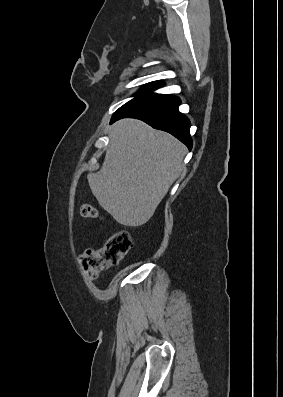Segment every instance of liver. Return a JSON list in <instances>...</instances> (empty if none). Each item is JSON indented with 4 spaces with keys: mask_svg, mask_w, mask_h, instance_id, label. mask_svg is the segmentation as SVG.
Listing matches in <instances>:
<instances>
[{
    "mask_svg": "<svg viewBox=\"0 0 283 397\" xmlns=\"http://www.w3.org/2000/svg\"><path fill=\"white\" fill-rule=\"evenodd\" d=\"M101 170L89 175L99 205L120 224L138 227L182 173L186 147L172 135L142 121L123 119L109 130Z\"/></svg>",
    "mask_w": 283,
    "mask_h": 397,
    "instance_id": "6515ba94",
    "label": "liver"
}]
</instances>
